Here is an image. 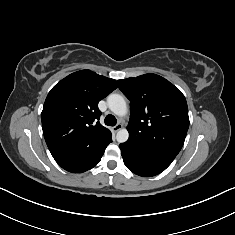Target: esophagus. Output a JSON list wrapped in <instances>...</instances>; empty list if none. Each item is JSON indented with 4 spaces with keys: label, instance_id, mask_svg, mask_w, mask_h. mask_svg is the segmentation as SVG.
I'll list each match as a JSON object with an SVG mask.
<instances>
[{
    "label": "esophagus",
    "instance_id": "obj_1",
    "mask_svg": "<svg viewBox=\"0 0 235 235\" xmlns=\"http://www.w3.org/2000/svg\"><path fill=\"white\" fill-rule=\"evenodd\" d=\"M123 125L121 123H118L116 124L114 127H113V131L114 132H117L119 131L120 129H122Z\"/></svg>",
    "mask_w": 235,
    "mask_h": 235
}]
</instances>
